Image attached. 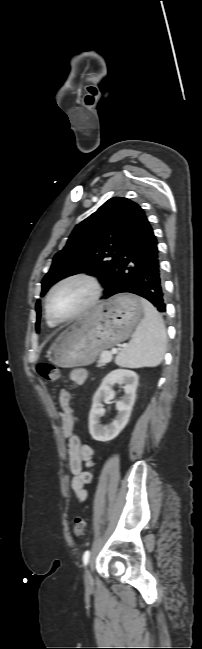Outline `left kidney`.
<instances>
[{"mask_svg": "<svg viewBox=\"0 0 202 649\" xmlns=\"http://www.w3.org/2000/svg\"><path fill=\"white\" fill-rule=\"evenodd\" d=\"M119 384L124 388L122 399L116 402L118 413L108 425L100 424V418L104 416L102 401L109 399L114 393L113 386ZM138 386V375L136 372L125 369L113 370L105 376L92 400V408L89 414V431L93 439L97 441H109L114 439L127 425L132 407L136 398Z\"/></svg>", "mask_w": 202, "mask_h": 649, "instance_id": "1", "label": "left kidney"}]
</instances>
